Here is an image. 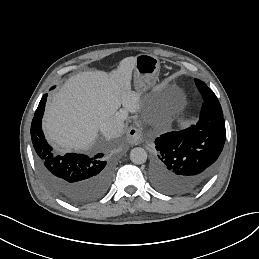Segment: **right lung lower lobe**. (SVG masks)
Wrapping results in <instances>:
<instances>
[{"label":"right lung lower lobe","mask_w":259,"mask_h":259,"mask_svg":"<svg viewBox=\"0 0 259 259\" xmlns=\"http://www.w3.org/2000/svg\"><path fill=\"white\" fill-rule=\"evenodd\" d=\"M46 98L47 94H44L31 124L39 173L47 186L66 201L73 204L92 202L107 192L111 182V165L103 153L94 157L76 153L64 156L53 154L41 128Z\"/></svg>","instance_id":"obj_1"}]
</instances>
